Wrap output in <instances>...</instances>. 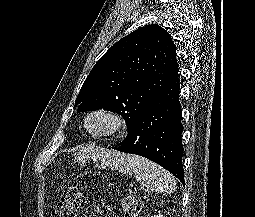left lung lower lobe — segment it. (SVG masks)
Listing matches in <instances>:
<instances>
[{
  "label": "left lung lower lobe",
  "instance_id": "obj_1",
  "mask_svg": "<svg viewBox=\"0 0 255 217\" xmlns=\"http://www.w3.org/2000/svg\"><path fill=\"white\" fill-rule=\"evenodd\" d=\"M179 84L180 74H177L147 106L117 150L140 155L159 164L184 185Z\"/></svg>",
  "mask_w": 255,
  "mask_h": 217
}]
</instances>
